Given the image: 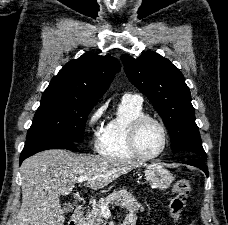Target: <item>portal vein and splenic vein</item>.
Wrapping results in <instances>:
<instances>
[{"label":"portal vein and splenic vein","mask_w":228,"mask_h":225,"mask_svg":"<svg viewBox=\"0 0 228 225\" xmlns=\"http://www.w3.org/2000/svg\"><path fill=\"white\" fill-rule=\"evenodd\" d=\"M93 179H97V177H93ZM93 179H89V177H78V183H84V181H93ZM115 205H119V203H115ZM102 215L105 213H110L109 205H105L102 203V207H100Z\"/></svg>","instance_id":"18ae733b"}]
</instances>
